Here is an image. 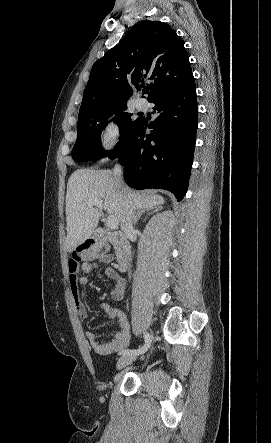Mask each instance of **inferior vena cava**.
Returning <instances> with one entry per match:
<instances>
[{
	"label": "inferior vena cava",
	"instance_id": "1",
	"mask_svg": "<svg viewBox=\"0 0 271 443\" xmlns=\"http://www.w3.org/2000/svg\"><path fill=\"white\" fill-rule=\"evenodd\" d=\"M113 178L115 180V188L120 194H122L125 202V214L123 220H121V229H124V231H134L132 223L135 218L134 210H136V208H134L132 202H130L128 188L123 182V172L119 164H117L113 170ZM130 259L131 257L128 251L123 253V255H119L118 261L120 271H126V269L130 267Z\"/></svg>",
	"mask_w": 271,
	"mask_h": 443
}]
</instances>
